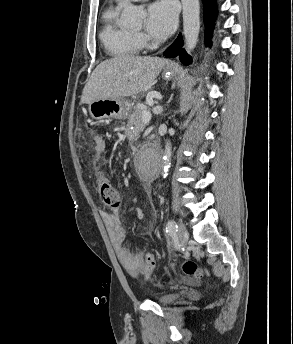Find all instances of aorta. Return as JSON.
<instances>
[{"label": "aorta", "mask_w": 293, "mask_h": 344, "mask_svg": "<svg viewBox=\"0 0 293 344\" xmlns=\"http://www.w3.org/2000/svg\"><path fill=\"white\" fill-rule=\"evenodd\" d=\"M183 7V31L185 45L188 52L196 47L200 31V3L199 0H181ZM142 8L128 4L122 12V23L125 26L138 24L144 17ZM172 147L170 140H166L164 150V172L167 173L171 164ZM157 156L154 152L144 151L137 161V169L140 173L152 171L156 167Z\"/></svg>", "instance_id": "762f6f07"}]
</instances>
